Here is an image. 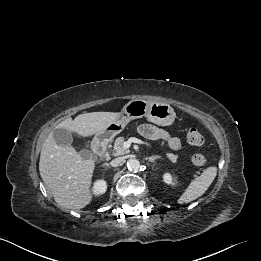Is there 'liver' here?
<instances>
[{
  "label": "liver",
  "instance_id": "6515ba94",
  "mask_svg": "<svg viewBox=\"0 0 261 261\" xmlns=\"http://www.w3.org/2000/svg\"><path fill=\"white\" fill-rule=\"evenodd\" d=\"M117 112H91L67 118L56 128H65L79 137L104 134L109 124L119 119ZM95 160L83 159L72 146H60L51 132L40 154L41 178L54 200L67 209H81L92 200L91 183Z\"/></svg>",
  "mask_w": 261,
  "mask_h": 261
}]
</instances>
